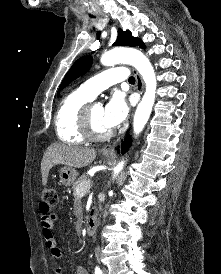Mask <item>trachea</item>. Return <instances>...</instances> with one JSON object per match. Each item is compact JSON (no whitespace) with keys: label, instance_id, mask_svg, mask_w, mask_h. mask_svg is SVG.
<instances>
[{"label":"trachea","instance_id":"3493384b","mask_svg":"<svg viewBox=\"0 0 221 274\" xmlns=\"http://www.w3.org/2000/svg\"><path fill=\"white\" fill-rule=\"evenodd\" d=\"M128 81L129 83H135V78L131 76Z\"/></svg>","mask_w":221,"mask_h":274}]
</instances>
